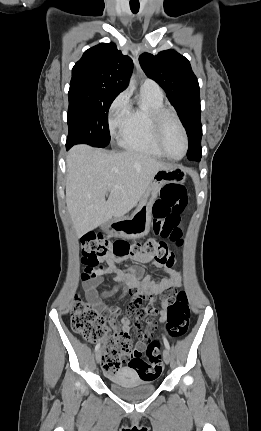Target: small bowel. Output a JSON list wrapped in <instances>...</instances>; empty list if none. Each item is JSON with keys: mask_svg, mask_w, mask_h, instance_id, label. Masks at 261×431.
Returning <instances> with one entry per match:
<instances>
[{"mask_svg": "<svg viewBox=\"0 0 261 431\" xmlns=\"http://www.w3.org/2000/svg\"><path fill=\"white\" fill-rule=\"evenodd\" d=\"M134 259L151 263L156 268H163L166 275L160 280H155L150 274H146L142 268L137 266L132 267L128 273H123L117 268L113 260L107 259V265L102 270L91 271L87 268L84 270L82 287L92 309L98 314L103 313L104 318H109L113 327L119 328L120 331L128 334L130 321L135 324V330L140 335L138 339H141L135 349L140 351L150 341L155 329L153 320L148 316L156 315L162 323L167 319V304L161 301L158 308L155 302L159 300V295L165 291L180 287L182 275L180 271L172 268L173 265L159 263L151 256H141ZM105 275H113L114 280L119 285L110 290L100 291L98 287ZM128 289H130L129 296L132 297L129 303L132 312L126 311L125 317L117 323L116 319L120 316V309L118 307L108 308L104 303V299L118 292L124 295Z\"/></svg>", "mask_w": 261, "mask_h": 431, "instance_id": "c3829d8e", "label": "small bowel"}]
</instances>
